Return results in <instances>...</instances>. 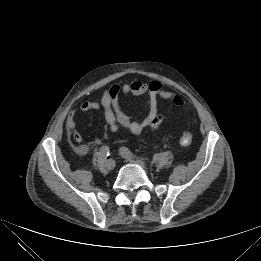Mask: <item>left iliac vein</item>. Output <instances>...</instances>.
Masks as SVG:
<instances>
[{"mask_svg": "<svg viewBox=\"0 0 261 261\" xmlns=\"http://www.w3.org/2000/svg\"><path fill=\"white\" fill-rule=\"evenodd\" d=\"M120 155H121L126 161H128V162H130V163H134V164H138V165H140V166H144V162H143V160H141V159L128 157L127 155H125V154L122 153L121 151H120Z\"/></svg>", "mask_w": 261, "mask_h": 261, "instance_id": "1", "label": "left iliac vein"}]
</instances>
